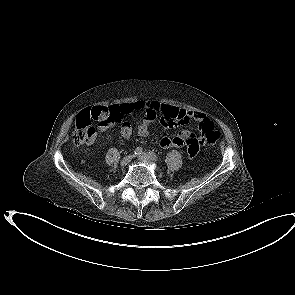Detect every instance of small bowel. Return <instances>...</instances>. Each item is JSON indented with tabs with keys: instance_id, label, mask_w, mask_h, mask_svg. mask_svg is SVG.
Returning <instances> with one entry per match:
<instances>
[{
	"instance_id": "c3829d8e",
	"label": "small bowel",
	"mask_w": 295,
	"mask_h": 295,
	"mask_svg": "<svg viewBox=\"0 0 295 295\" xmlns=\"http://www.w3.org/2000/svg\"><path fill=\"white\" fill-rule=\"evenodd\" d=\"M111 111L109 117H102L98 123L100 131L112 127L114 122L136 111L144 113V117L138 126V135L146 137L149 134L151 123L160 116L165 126H175L177 124H187L191 120L204 121L207 119L202 112L190 111L174 107L158 101H135L120 105L106 107ZM121 135L124 139H129L132 135V124L124 120L121 125ZM159 144L163 148H186L189 155L193 156L198 152L199 140L190 131L183 130L173 137H163Z\"/></svg>"
}]
</instances>
